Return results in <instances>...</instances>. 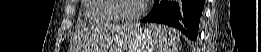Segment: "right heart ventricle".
<instances>
[{
  "mask_svg": "<svg viewBox=\"0 0 261 52\" xmlns=\"http://www.w3.org/2000/svg\"><path fill=\"white\" fill-rule=\"evenodd\" d=\"M110 2L111 0H86L84 6L85 19L93 24L116 23L110 9Z\"/></svg>",
  "mask_w": 261,
  "mask_h": 52,
  "instance_id": "e07e8e85",
  "label": "right heart ventricle"
}]
</instances>
